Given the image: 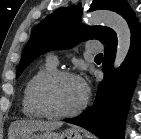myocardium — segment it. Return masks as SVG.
I'll return each instance as SVG.
<instances>
[{
  "label": "myocardium",
  "instance_id": "1",
  "mask_svg": "<svg viewBox=\"0 0 141 139\" xmlns=\"http://www.w3.org/2000/svg\"><path fill=\"white\" fill-rule=\"evenodd\" d=\"M61 78H74L81 82L83 89H84V96L80 104L75 107L74 109L66 112H57L52 109V107L49 104L48 101V89L50 85L55 82L58 79ZM34 99L38 106V108L41 110V112L49 118L54 119H60V118H68L75 116L82 112L85 107L87 106L88 100H89V93L88 89L84 83V81L81 79L80 76L75 74L72 71L69 70H54L47 75H45L36 85L35 91H34Z\"/></svg>",
  "mask_w": 141,
  "mask_h": 139
}]
</instances>
